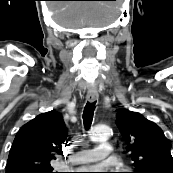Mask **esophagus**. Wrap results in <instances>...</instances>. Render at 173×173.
Listing matches in <instances>:
<instances>
[{"label":"esophagus","mask_w":173,"mask_h":173,"mask_svg":"<svg viewBox=\"0 0 173 173\" xmlns=\"http://www.w3.org/2000/svg\"><path fill=\"white\" fill-rule=\"evenodd\" d=\"M98 97H99V94L96 91H94V92L93 91H89L87 93V100L89 102H95L96 100H98Z\"/></svg>","instance_id":"1"}]
</instances>
